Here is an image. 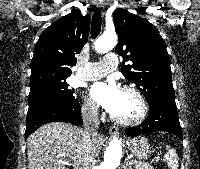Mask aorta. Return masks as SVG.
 Listing matches in <instances>:
<instances>
[{
    "instance_id": "aorta-1",
    "label": "aorta",
    "mask_w": 200,
    "mask_h": 169,
    "mask_svg": "<svg viewBox=\"0 0 200 169\" xmlns=\"http://www.w3.org/2000/svg\"><path fill=\"white\" fill-rule=\"evenodd\" d=\"M117 44V35L115 32L102 34L95 42V49L99 53H106L113 49ZM122 157V141L113 138L104 154V161L98 169H117Z\"/></svg>"
}]
</instances>
